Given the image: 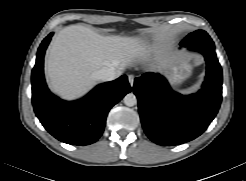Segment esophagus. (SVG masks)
I'll return each mask as SVG.
<instances>
[{"instance_id": "obj_1", "label": "esophagus", "mask_w": 246, "mask_h": 181, "mask_svg": "<svg viewBox=\"0 0 246 181\" xmlns=\"http://www.w3.org/2000/svg\"><path fill=\"white\" fill-rule=\"evenodd\" d=\"M134 79H135V76L133 74L128 75V81L131 87L134 84Z\"/></svg>"}]
</instances>
